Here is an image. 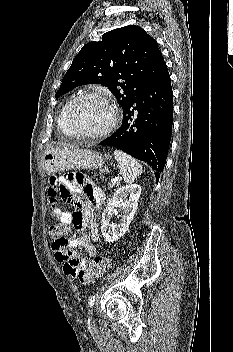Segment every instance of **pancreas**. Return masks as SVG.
<instances>
[{
  "label": "pancreas",
  "instance_id": "pancreas-1",
  "mask_svg": "<svg viewBox=\"0 0 233 352\" xmlns=\"http://www.w3.org/2000/svg\"><path fill=\"white\" fill-rule=\"evenodd\" d=\"M119 184H120V181L117 180L116 182H110V183L108 184V186H109V188H114V187H118Z\"/></svg>",
  "mask_w": 233,
  "mask_h": 352
}]
</instances>
